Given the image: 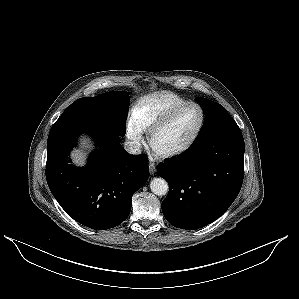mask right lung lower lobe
Returning <instances> with one entry per match:
<instances>
[{
	"instance_id": "98d812e1",
	"label": "right lung lower lobe",
	"mask_w": 299,
	"mask_h": 299,
	"mask_svg": "<svg viewBox=\"0 0 299 299\" xmlns=\"http://www.w3.org/2000/svg\"><path fill=\"white\" fill-rule=\"evenodd\" d=\"M83 132L92 135L98 148L85 167H76L69 154ZM119 137L99 125L67 120L55 122L48 136V186L67 214L94 230L121 224L130 213L132 195L148 179L147 157L128 154Z\"/></svg>"
}]
</instances>
